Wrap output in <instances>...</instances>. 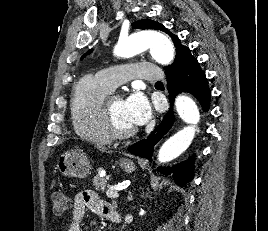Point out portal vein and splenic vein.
I'll use <instances>...</instances> for the list:
<instances>
[{
	"label": "portal vein and splenic vein",
	"instance_id": "1",
	"mask_svg": "<svg viewBox=\"0 0 268 231\" xmlns=\"http://www.w3.org/2000/svg\"><path fill=\"white\" fill-rule=\"evenodd\" d=\"M118 190L117 188L115 187H110L107 191H106V195L109 197V198H118L119 197V193H118Z\"/></svg>",
	"mask_w": 268,
	"mask_h": 231
}]
</instances>
